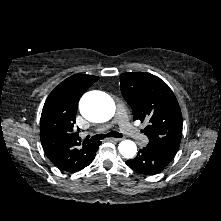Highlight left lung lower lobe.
I'll list each match as a JSON object with an SVG mask.
<instances>
[{"label":"left lung lower lobe","mask_w":221,"mask_h":221,"mask_svg":"<svg viewBox=\"0 0 221 221\" xmlns=\"http://www.w3.org/2000/svg\"><path fill=\"white\" fill-rule=\"evenodd\" d=\"M174 156L155 147L146 146L138 152L136 158L126 161L134 171L144 175H155L161 172Z\"/></svg>","instance_id":"left-lung-lower-lobe-1"}]
</instances>
